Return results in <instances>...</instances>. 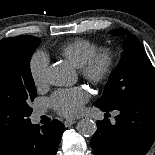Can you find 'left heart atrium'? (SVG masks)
I'll list each match as a JSON object with an SVG mask.
<instances>
[{"label":"left heart atrium","mask_w":155,"mask_h":155,"mask_svg":"<svg viewBox=\"0 0 155 155\" xmlns=\"http://www.w3.org/2000/svg\"><path fill=\"white\" fill-rule=\"evenodd\" d=\"M88 92L81 88L56 91L50 98V104L61 115L74 117L82 112L83 104L88 100Z\"/></svg>","instance_id":"obj_1"}]
</instances>
